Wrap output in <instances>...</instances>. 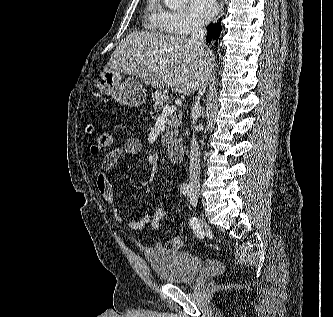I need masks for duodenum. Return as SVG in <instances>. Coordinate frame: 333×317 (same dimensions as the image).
<instances>
[{"instance_id": "obj_1", "label": "duodenum", "mask_w": 333, "mask_h": 317, "mask_svg": "<svg viewBox=\"0 0 333 317\" xmlns=\"http://www.w3.org/2000/svg\"><path fill=\"white\" fill-rule=\"evenodd\" d=\"M167 156L172 162H180L184 157V142L181 139L172 140L167 146Z\"/></svg>"}]
</instances>
